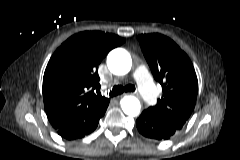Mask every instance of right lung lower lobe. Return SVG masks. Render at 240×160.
<instances>
[{
  "instance_id": "98d812e1",
  "label": "right lung lower lobe",
  "mask_w": 240,
  "mask_h": 160,
  "mask_svg": "<svg viewBox=\"0 0 240 160\" xmlns=\"http://www.w3.org/2000/svg\"><path fill=\"white\" fill-rule=\"evenodd\" d=\"M108 105L109 102L97 105L83 116L66 121L56 129L57 133L67 140L79 139L90 134L98 126L99 119L105 114Z\"/></svg>"
}]
</instances>
